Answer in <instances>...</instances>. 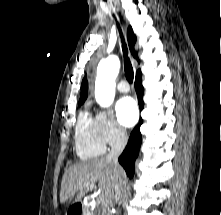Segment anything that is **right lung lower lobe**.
Returning a JSON list of instances; mask_svg holds the SVG:
<instances>
[{"instance_id":"1","label":"right lung lower lobe","mask_w":221,"mask_h":215,"mask_svg":"<svg viewBox=\"0 0 221 215\" xmlns=\"http://www.w3.org/2000/svg\"><path fill=\"white\" fill-rule=\"evenodd\" d=\"M135 89L138 96L139 107L140 110H142L144 108V102H143L144 88L142 86L141 74L136 76ZM142 123L143 121L141 119L139 124L133 129L128 144L118 159L119 163L123 166L127 175L130 178H132L134 175V163L138 156L139 148L142 142L141 133L139 130Z\"/></svg>"}]
</instances>
